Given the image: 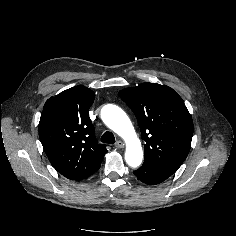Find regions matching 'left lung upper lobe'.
<instances>
[{
	"instance_id": "obj_1",
	"label": "left lung upper lobe",
	"mask_w": 236,
	"mask_h": 236,
	"mask_svg": "<svg viewBox=\"0 0 236 236\" xmlns=\"http://www.w3.org/2000/svg\"><path fill=\"white\" fill-rule=\"evenodd\" d=\"M119 95L134 112L146 142L144 162L174 174L188 156L193 136V121L182 98L168 86L149 82Z\"/></svg>"
}]
</instances>
